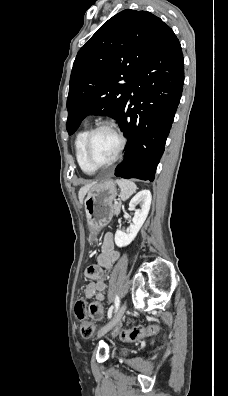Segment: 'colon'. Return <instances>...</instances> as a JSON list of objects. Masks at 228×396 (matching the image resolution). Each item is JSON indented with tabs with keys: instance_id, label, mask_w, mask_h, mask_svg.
<instances>
[{
	"instance_id": "1",
	"label": "colon",
	"mask_w": 228,
	"mask_h": 396,
	"mask_svg": "<svg viewBox=\"0 0 228 396\" xmlns=\"http://www.w3.org/2000/svg\"><path fill=\"white\" fill-rule=\"evenodd\" d=\"M75 313L77 318L81 321L80 331L83 337H90L94 331V325L88 315L93 319H100L103 316L101 305L92 303L87 306L84 300H78L75 304ZM158 328L155 325L147 327H133L128 330H123L120 333V338L125 341H135L145 336L155 334Z\"/></svg>"
}]
</instances>
